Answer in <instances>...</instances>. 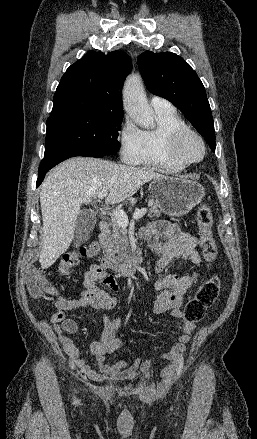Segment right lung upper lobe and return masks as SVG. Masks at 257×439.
Masks as SVG:
<instances>
[{
  "label": "right lung upper lobe",
  "instance_id": "1",
  "mask_svg": "<svg viewBox=\"0 0 257 439\" xmlns=\"http://www.w3.org/2000/svg\"><path fill=\"white\" fill-rule=\"evenodd\" d=\"M131 68L122 51L88 52L61 78L50 117L79 110L123 114L122 87Z\"/></svg>",
  "mask_w": 257,
  "mask_h": 439
}]
</instances>
